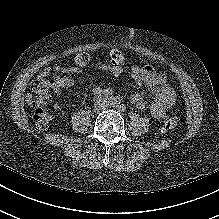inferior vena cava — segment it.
<instances>
[{"instance_id":"602c4592","label":"inferior vena cava","mask_w":219,"mask_h":219,"mask_svg":"<svg viewBox=\"0 0 219 219\" xmlns=\"http://www.w3.org/2000/svg\"><path fill=\"white\" fill-rule=\"evenodd\" d=\"M109 107V104L106 101H101L95 104V109L96 110H101V109H107Z\"/></svg>"}]
</instances>
